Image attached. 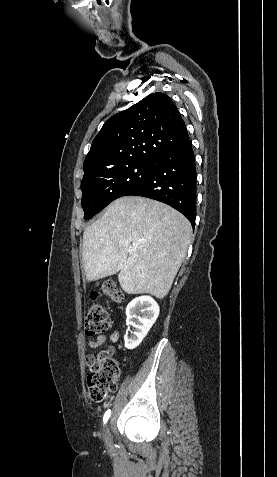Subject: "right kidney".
<instances>
[{
    "label": "right kidney",
    "mask_w": 277,
    "mask_h": 477,
    "mask_svg": "<svg viewBox=\"0 0 277 477\" xmlns=\"http://www.w3.org/2000/svg\"><path fill=\"white\" fill-rule=\"evenodd\" d=\"M159 306L150 296H140L133 299L126 307V325L128 330L134 327L133 335L124 336L127 349L136 348L147 335L159 315Z\"/></svg>",
    "instance_id": "right-kidney-1"
}]
</instances>
